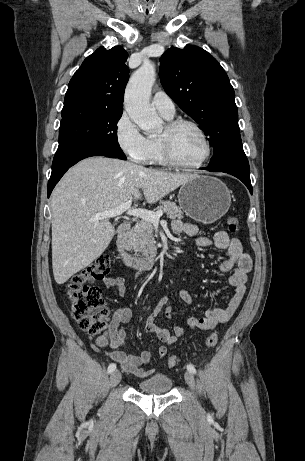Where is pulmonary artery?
Segmentation results:
<instances>
[{
	"instance_id": "e3ab8cb5",
	"label": "pulmonary artery",
	"mask_w": 305,
	"mask_h": 461,
	"mask_svg": "<svg viewBox=\"0 0 305 461\" xmlns=\"http://www.w3.org/2000/svg\"><path fill=\"white\" fill-rule=\"evenodd\" d=\"M152 105L162 116L171 118L175 115V105L164 91L160 90L154 93Z\"/></svg>"
}]
</instances>
